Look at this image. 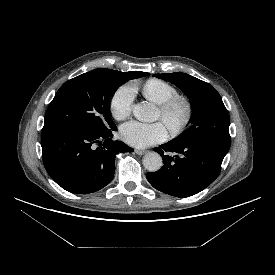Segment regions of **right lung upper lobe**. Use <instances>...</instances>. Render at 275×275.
Listing matches in <instances>:
<instances>
[{
  "label": "right lung upper lobe",
  "instance_id": "obj_1",
  "mask_svg": "<svg viewBox=\"0 0 275 275\" xmlns=\"http://www.w3.org/2000/svg\"><path fill=\"white\" fill-rule=\"evenodd\" d=\"M123 74L130 78V79H135V78H140L143 76H146V72H141V71H130V72H123Z\"/></svg>",
  "mask_w": 275,
  "mask_h": 275
}]
</instances>
